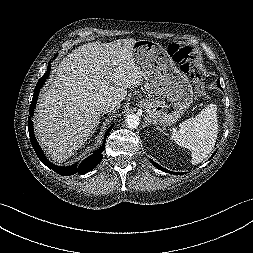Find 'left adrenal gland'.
<instances>
[{
	"label": "left adrenal gland",
	"mask_w": 253,
	"mask_h": 253,
	"mask_svg": "<svg viewBox=\"0 0 253 253\" xmlns=\"http://www.w3.org/2000/svg\"><path fill=\"white\" fill-rule=\"evenodd\" d=\"M157 129H158L159 131H161V132H163V133L165 134V132H164V130H163V129L158 128V127H157Z\"/></svg>",
	"instance_id": "a2214340"
}]
</instances>
